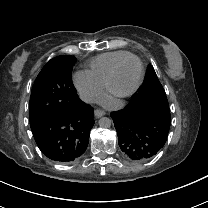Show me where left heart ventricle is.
Masks as SVG:
<instances>
[{
    "mask_svg": "<svg viewBox=\"0 0 208 208\" xmlns=\"http://www.w3.org/2000/svg\"><path fill=\"white\" fill-rule=\"evenodd\" d=\"M140 74L139 62L130 58L118 69L113 88L116 92H127L134 87Z\"/></svg>",
    "mask_w": 208,
    "mask_h": 208,
    "instance_id": "1",
    "label": "left heart ventricle"
}]
</instances>
